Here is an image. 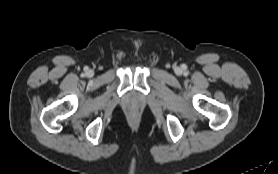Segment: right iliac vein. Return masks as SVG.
<instances>
[{"mask_svg": "<svg viewBox=\"0 0 278 174\" xmlns=\"http://www.w3.org/2000/svg\"><path fill=\"white\" fill-rule=\"evenodd\" d=\"M93 74H94V72H93L92 70H89V71L87 72V75H88L89 77L93 76Z\"/></svg>", "mask_w": 278, "mask_h": 174, "instance_id": "1", "label": "right iliac vein"}]
</instances>
